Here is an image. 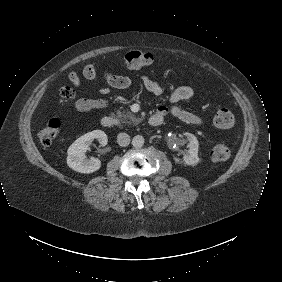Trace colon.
Returning <instances> with one entry per match:
<instances>
[{
    "label": "colon",
    "mask_w": 282,
    "mask_h": 282,
    "mask_svg": "<svg viewBox=\"0 0 282 282\" xmlns=\"http://www.w3.org/2000/svg\"><path fill=\"white\" fill-rule=\"evenodd\" d=\"M154 57L148 51L132 50L124 57L125 65L132 70H139L153 63ZM73 92L70 88L61 90V97L68 99ZM214 124L218 130H228L235 126L236 120L233 112L227 108H221L216 112ZM61 122L58 118H51L41 127L38 138L42 144L50 145L54 142L59 132ZM230 157V150L225 143L219 142L212 147L211 158L213 162L226 161Z\"/></svg>",
    "instance_id": "colon-1"
}]
</instances>
